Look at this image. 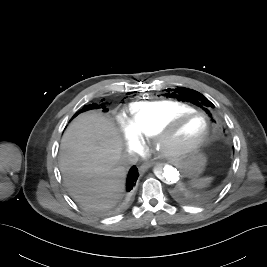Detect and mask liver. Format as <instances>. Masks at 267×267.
<instances>
[{"mask_svg": "<svg viewBox=\"0 0 267 267\" xmlns=\"http://www.w3.org/2000/svg\"><path fill=\"white\" fill-rule=\"evenodd\" d=\"M59 166L68 191L89 209L111 208L124 191L122 140L101 113H83L69 125L60 145Z\"/></svg>", "mask_w": 267, "mask_h": 267, "instance_id": "liver-1", "label": "liver"}]
</instances>
